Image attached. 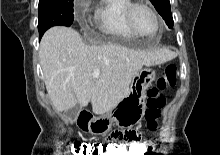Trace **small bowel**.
I'll use <instances>...</instances> for the list:
<instances>
[{"label": "small bowel", "mask_w": 220, "mask_h": 155, "mask_svg": "<svg viewBox=\"0 0 220 155\" xmlns=\"http://www.w3.org/2000/svg\"><path fill=\"white\" fill-rule=\"evenodd\" d=\"M139 131H141V126H113L112 130L107 131V134L110 135L109 139L106 137L102 140H94L93 143L94 145L126 146L115 144L113 141H139V138H141Z\"/></svg>", "instance_id": "1"}]
</instances>
